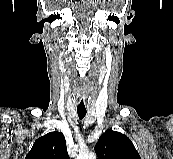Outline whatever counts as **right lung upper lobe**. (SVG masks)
Segmentation results:
<instances>
[{
	"instance_id": "cb5924a9",
	"label": "right lung upper lobe",
	"mask_w": 173,
	"mask_h": 159,
	"mask_svg": "<svg viewBox=\"0 0 173 159\" xmlns=\"http://www.w3.org/2000/svg\"><path fill=\"white\" fill-rule=\"evenodd\" d=\"M25 159H69L64 135L55 131L38 138Z\"/></svg>"
}]
</instances>
